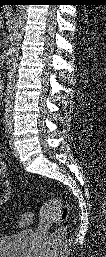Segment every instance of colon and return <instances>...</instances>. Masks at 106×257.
<instances>
[{
    "label": "colon",
    "instance_id": "colon-1",
    "mask_svg": "<svg viewBox=\"0 0 106 257\" xmlns=\"http://www.w3.org/2000/svg\"><path fill=\"white\" fill-rule=\"evenodd\" d=\"M47 210H54L55 211V219L57 222V228L52 232L50 236V243L55 244L58 243L62 237L64 236L65 229L62 226L63 221L66 219L69 213V205L63 204L58 205L55 202H51L47 205ZM32 222V214L30 212H24L16 222V226L18 228H25L30 225Z\"/></svg>",
    "mask_w": 106,
    "mask_h": 257
}]
</instances>
